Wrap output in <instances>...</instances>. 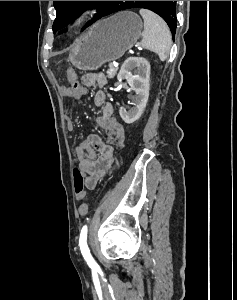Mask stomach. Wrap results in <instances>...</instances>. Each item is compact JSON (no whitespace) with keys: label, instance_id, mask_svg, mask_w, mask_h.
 Masks as SVG:
<instances>
[{"label":"stomach","instance_id":"0dacf381","mask_svg":"<svg viewBox=\"0 0 237 300\" xmlns=\"http://www.w3.org/2000/svg\"><path fill=\"white\" fill-rule=\"evenodd\" d=\"M143 23L132 11H121L90 27L76 41L69 61L80 71H97L104 63L116 61L131 49L141 35Z\"/></svg>","mask_w":237,"mask_h":300}]
</instances>
